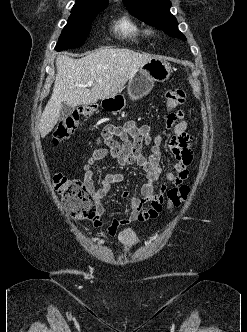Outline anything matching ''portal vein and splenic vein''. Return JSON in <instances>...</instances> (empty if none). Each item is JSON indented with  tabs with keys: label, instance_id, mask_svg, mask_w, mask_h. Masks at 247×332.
Segmentation results:
<instances>
[{
	"label": "portal vein and splenic vein",
	"instance_id": "portal-vein-and-splenic-vein-1",
	"mask_svg": "<svg viewBox=\"0 0 247 332\" xmlns=\"http://www.w3.org/2000/svg\"><path fill=\"white\" fill-rule=\"evenodd\" d=\"M94 85V81H89L86 85H85V87H90V86H93Z\"/></svg>",
	"mask_w": 247,
	"mask_h": 332
}]
</instances>
